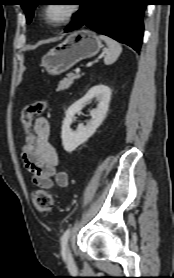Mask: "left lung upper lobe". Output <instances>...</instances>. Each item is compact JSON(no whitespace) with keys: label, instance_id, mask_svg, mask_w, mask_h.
Returning a JSON list of instances; mask_svg holds the SVG:
<instances>
[{"label":"left lung upper lobe","instance_id":"5c2ea615","mask_svg":"<svg viewBox=\"0 0 174 278\" xmlns=\"http://www.w3.org/2000/svg\"><path fill=\"white\" fill-rule=\"evenodd\" d=\"M40 0H23V3L21 4V7L26 13V18H27V23H30L32 20V17L34 15V9L35 7L39 4ZM85 0H76L78 5L83 4ZM76 14V13H75ZM75 14L73 15L72 18H74Z\"/></svg>","mask_w":174,"mask_h":278}]
</instances>
